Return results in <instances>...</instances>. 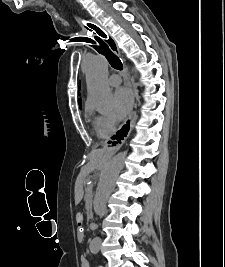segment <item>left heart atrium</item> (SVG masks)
<instances>
[{
  "instance_id": "left-heart-atrium-1",
  "label": "left heart atrium",
  "mask_w": 225,
  "mask_h": 267,
  "mask_svg": "<svg viewBox=\"0 0 225 267\" xmlns=\"http://www.w3.org/2000/svg\"><path fill=\"white\" fill-rule=\"evenodd\" d=\"M114 110L118 118L125 117L131 109L133 98L131 92L125 88L120 87L114 92Z\"/></svg>"
}]
</instances>
